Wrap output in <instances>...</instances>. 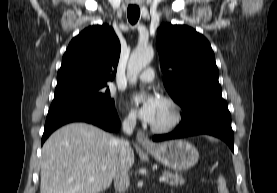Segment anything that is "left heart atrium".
I'll return each instance as SVG.
<instances>
[{"instance_id": "1", "label": "left heart atrium", "mask_w": 277, "mask_h": 193, "mask_svg": "<svg viewBox=\"0 0 277 193\" xmlns=\"http://www.w3.org/2000/svg\"><path fill=\"white\" fill-rule=\"evenodd\" d=\"M161 102L162 99L154 94L136 95L132 98L136 114L148 123L155 120Z\"/></svg>"}]
</instances>
